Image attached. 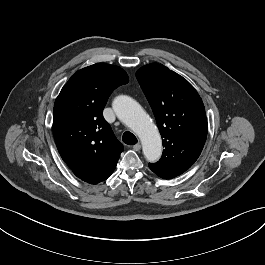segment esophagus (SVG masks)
I'll return each mask as SVG.
<instances>
[{"mask_svg":"<svg viewBox=\"0 0 265 265\" xmlns=\"http://www.w3.org/2000/svg\"><path fill=\"white\" fill-rule=\"evenodd\" d=\"M140 149H141V144L140 143H138V144L133 146V150H135V151H139Z\"/></svg>","mask_w":265,"mask_h":265,"instance_id":"34e87169","label":"esophagus"}]
</instances>
